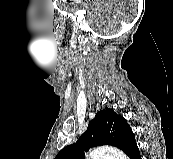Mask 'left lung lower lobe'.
<instances>
[{
  "label": "left lung lower lobe",
  "instance_id": "left-lung-lower-lobe-1",
  "mask_svg": "<svg viewBox=\"0 0 173 159\" xmlns=\"http://www.w3.org/2000/svg\"><path fill=\"white\" fill-rule=\"evenodd\" d=\"M126 154L130 159H141L140 152L136 144L132 146Z\"/></svg>",
  "mask_w": 173,
  "mask_h": 159
}]
</instances>
